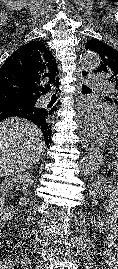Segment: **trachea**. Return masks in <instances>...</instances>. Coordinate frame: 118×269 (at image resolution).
Returning a JSON list of instances; mask_svg holds the SVG:
<instances>
[{
    "instance_id": "3493384b",
    "label": "trachea",
    "mask_w": 118,
    "mask_h": 269,
    "mask_svg": "<svg viewBox=\"0 0 118 269\" xmlns=\"http://www.w3.org/2000/svg\"><path fill=\"white\" fill-rule=\"evenodd\" d=\"M81 91H82V93H90V92H92V90L89 87H87L86 85H82ZM58 94H59V91H58V89H56L54 95H58Z\"/></svg>"
}]
</instances>
